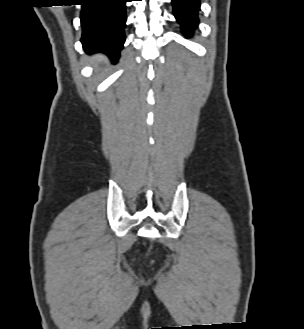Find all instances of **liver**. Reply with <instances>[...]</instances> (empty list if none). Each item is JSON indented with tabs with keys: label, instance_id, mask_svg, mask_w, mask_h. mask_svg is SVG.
Segmentation results:
<instances>
[{
	"label": "liver",
	"instance_id": "liver-1",
	"mask_svg": "<svg viewBox=\"0 0 304 329\" xmlns=\"http://www.w3.org/2000/svg\"><path fill=\"white\" fill-rule=\"evenodd\" d=\"M103 61H104V57L102 55H96L91 58V63L95 66H98Z\"/></svg>",
	"mask_w": 304,
	"mask_h": 329
}]
</instances>
